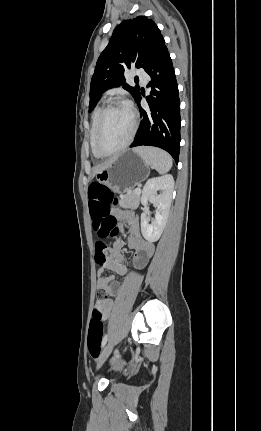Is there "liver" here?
<instances>
[{"mask_svg":"<svg viewBox=\"0 0 261 431\" xmlns=\"http://www.w3.org/2000/svg\"><path fill=\"white\" fill-rule=\"evenodd\" d=\"M116 157H117V156H116ZM116 157H114V158L110 159L109 161H107V162L103 163L102 165L97 166V167L95 168V170H94V174H97L100 170H102V169H104L105 167H107L110 163H112V162L114 161V159H115Z\"/></svg>","mask_w":261,"mask_h":431,"instance_id":"1","label":"liver"}]
</instances>
